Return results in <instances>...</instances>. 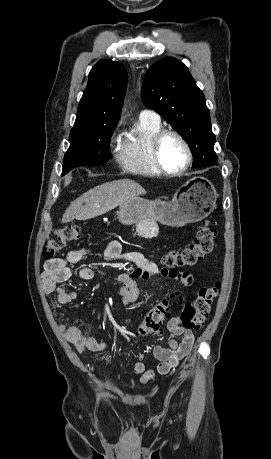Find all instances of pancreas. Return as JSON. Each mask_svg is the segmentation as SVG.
<instances>
[{
	"label": "pancreas",
	"mask_w": 271,
	"mask_h": 459,
	"mask_svg": "<svg viewBox=\"0 0 271 459\" xmlns=\"http://www.w3.org/2000/svg\"><path fill=\"white\" fill-rule=\"evenodd\" d=\"M158 226L153 222V220H147L146 224H142L140 228H137V231L140 232H135L134 236L135 237H142V238H153L156 236V233L158 231Z\"/></svg>",
	"instance_id": "1"
}]
</instances>
